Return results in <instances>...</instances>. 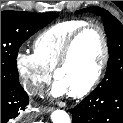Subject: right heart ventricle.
<instances>
[{"mask_svg": "<svg viewBox=\"0 0 123 123\" xmlns=\"http://www.w3.org/2000/svg\"><path fill=\"white\" fill-rule=\"evenodd\" d=\"M84 24V20L71 19L50 26L34 40V55L47 69L53 70L66 40Z\"/></svg>", "mask_w": 123, "mask_h": 123, "instance_id": "1", "label": "right heart ventricle"}]
</instances>
